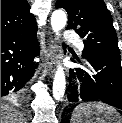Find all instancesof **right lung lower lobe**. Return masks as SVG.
Returning a JSON list of instances; mask_svg holds the SVG:
<instances>
[{
  "mask_svg": "<svg viewBox=\"0 0 122 123\" xmlns=\"http://www.w3.org/2000/svg\"><path fill=\"white\" fill-rule=\"evenodd\" d=\"M36 32L1 33V98H25L40 52Z\"/></svg>",
  "mask_w": 122,
  "mask_h": 123,
  "instance_id": "1",
  "label": "right lung lower lobe"
}]
</instances>
